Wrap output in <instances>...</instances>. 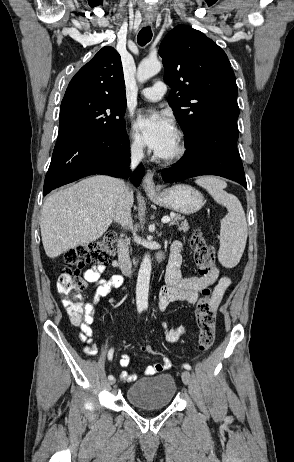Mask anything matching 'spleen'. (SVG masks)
Segmentation results:
<instances>
[{"label": "spleen", "instance_id": "spleen-1", "mask_svg": "<svg viewBox=\"0 0 294 462\" xmlns=\"http://www.w3.org/2000/svg\"><path fill=\"white\" fill-rule=\"evenodd\" d=\"M195 182L228 210V214L221 220L218 260L223 266L232 268L239 263L247 240V222L243 207L236 196L224 190L227 187L225 181L214 176H204Z\"/></svg>", "mask_w": 294, "mask_h": 462}]
</instances>
